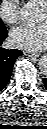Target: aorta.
Instances as JSON below:
<instances>
[{
    "instance_id": "762f6f07",
    "label": "aorta",
    "mask_w": 47,
    "mask_h": 129,
    "mask_svg": "<svg viewBox=\"0 0 47 129\" xmlns=\"http://www.w3.org/2000/svg\"><path fill=\"white\" fill-rule=\"evenodd\" d=\"M36 7L33 4H26L20 9V16L23 20L31 21L36 17ZM40 68L42 71L46 72L47 70V58L43 56L39 62Z\"/></svg>"
}]
</instances>
